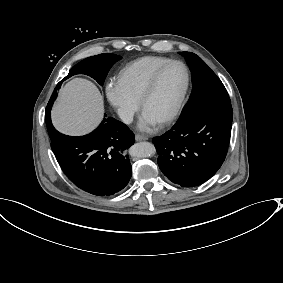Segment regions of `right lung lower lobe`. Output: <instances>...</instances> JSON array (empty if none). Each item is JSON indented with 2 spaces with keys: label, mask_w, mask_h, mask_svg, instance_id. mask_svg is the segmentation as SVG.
Here are the masks:
<instances>
[{
  "label": "right lung lower lobe",
  "mask_w": 283,
  "mask_h": 283,
  "mask_svg": "<svg viewBox=\"0 0 283 283\" xmlns=\"http://www.w3.org/2000/svg\"><path fill=\"white\" fill-rule=\"evenodd\" d=\"M58 83L45 110L51 148L65 175L79 188L97 196L122 190L132 176L126 150L134 144L133 132L122 122L109 117L92 133L72 137L59 133L51 122V108ZM106 116V115H105Z\"/></svg>",
  "instance_id": "right-lung-lower-lobe-1"
}]
</instances>
